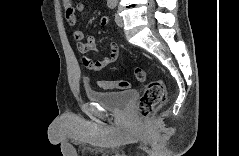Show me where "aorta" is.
I'll return each mask as SVG.
<instances>
[{
    "label": "aorta",
    "instance_id": "obj_1",
    "mask_svg": "<svg viewBox=\"0 0 239 156\" xmlns=\"http://www.w3.org/2000/svg\"><path fill=\"white\" fill-rule=\"evenodd\" d=\"M118 0H108L109 4L116 5Z\"/></svg>",
    "mask_w": 239,
    "mask_h": 156
}]
</instances>
